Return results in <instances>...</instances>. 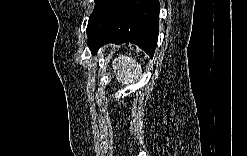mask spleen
Returning a JSON list of instances; mask_svg holds the SVG:
<instances>
[{"label":"spleen","instance_id":"3e777b00","mask_svg":"<svg viewBox=\"0 0 247 156\" xmlns=\"http://www.w3.org/2000/svg\"><path fill=\"white\" fill-rule=\"evenodd\" d=\"M113 70L117 81L122 85H129L139 79L141 65L132 57L120 55L113 61Z\"/></svg>","mask_w":247,"mask_h":156}]
</instances>
